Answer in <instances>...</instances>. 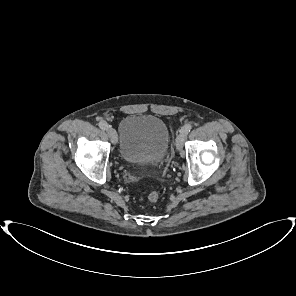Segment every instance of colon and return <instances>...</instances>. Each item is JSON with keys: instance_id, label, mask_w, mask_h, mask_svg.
<instances>
[{"instance_id": "obj_1", "label": "colon", "mask_w": 296, "mask_h": 296, "mask_svg": "<svg viewBox=\"0 0 296 296\" xmlns=\"http://www.w3.org/2000/svg\"><path fill=\"white\" fill-rule=\"evenodd\" d=\"M158 198H159V195H158L157 191H155L153 189H150L149 192H148L149 201L155 202V201L158 200Z\"/></svg>"}]
</instances>
